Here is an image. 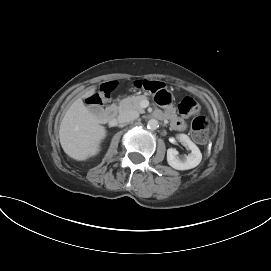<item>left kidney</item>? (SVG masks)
<instances>
[{"label": "left kidney", "mask_w": 271, "mask_h": 271, "mask_svg": "<svg viewBox=\"0 0 271 271\" xmlns=\"http://www.w3.org/2000/svg\"><path fill=\"white\" fill-rule=\"evenodd\" d=\"M177 138L182 144L191 150V153L185 158L181 159L178 157V151L176 149L169 148L167 150L168 164L177 170H188L199 165L202 160V154L196 144H194L185 134H179Z\"/></svg>", "instance_id": "5707ae66"}]
</instances>
